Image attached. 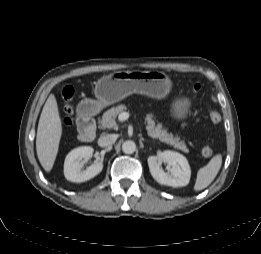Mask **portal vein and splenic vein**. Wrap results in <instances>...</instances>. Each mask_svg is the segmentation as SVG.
<instances>
[{
	"label": "portal vein and splenic vein",
	"instance_id": "1",
	"mask_svg": "<svg viewBox=\"0 0 261 254\" xmlns=\"http://www.w3.org/2000/svg\"><path fill=\"white\" fill-rule=\"evenodd\" d=\"M129 118V114L127 112H122L119 114L118 119L119 121H125Z\"/></svg>",
	"mask_w": 261,
	"mask_h": 254
}]
</instances>
